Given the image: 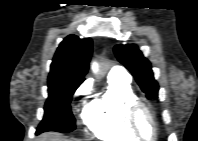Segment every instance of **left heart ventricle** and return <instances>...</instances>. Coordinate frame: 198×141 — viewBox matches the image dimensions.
I'll return each instance as SVG.
<instances>
[{
	"instance_id": "b2bd125f",
	"label": "left heart ventricle",
	"mask_w": 198,
	"mask_h": 141,
	"mask_svg": "<svg viewBox=\"0 0 198 141\" xmlns=\"http://www.w3.org/2000/svg\"><path fill=\"white\" fill-rule=\"evenodd\" d=\"M138 123L145 137L149 138L153 136L154 128L147 114L141 112L139 114Z\"/></svg>"
}]
</instances>
